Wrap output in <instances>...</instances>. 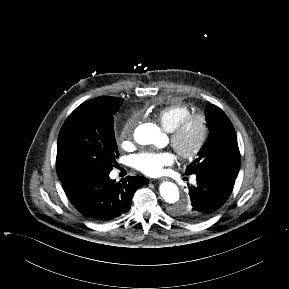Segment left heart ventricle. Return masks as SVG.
<instances>
[{
  "instance_id": "1",
  "label": "left heart ventricle",
  "mask_w": 289,
  "mask_h": 289,
  "mask_svg": "<svg viewBox=\"0 0 289 289\" xmlns=\"http://www.w3.org/2000/svg\"><path fill=\"white\" fill-rule=\"evenodd\" d=\"M199 136L200 125L199 122L194 121L186 128L180 141L181 147L186 150L192 148L197 143Z\"/></svg>"
}]
</instances>
